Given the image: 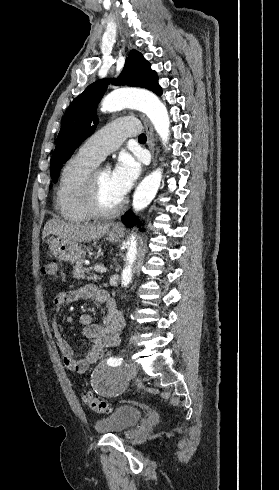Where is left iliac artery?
I'll use <instances>...</instances> for the list:
<instances>
[{"label":"left iliac artery","instance_id":"left-iliac-artery-1","mask_svg":"<svg viewBox=\"0 0 279 490\" xmlns=\"http://www.w3.org/2000/svg\"><path fill=\"white\" fill-rule=\"evenodd\" d=\"M123 362V358H110L108 360L109 365L118 366Z\"/></svg>","mask_w":279,"mask_h":490}]
</instances>
